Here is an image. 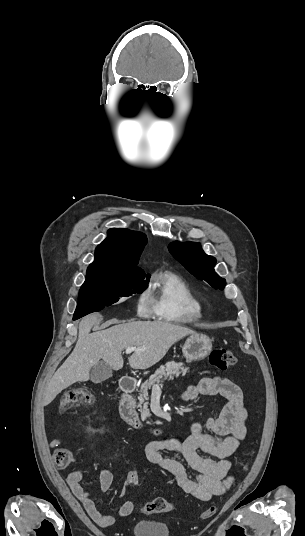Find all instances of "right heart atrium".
<instances>
[{"label": "right heart atrium", "instance_id": "right-heart-atrium-1", "mask_svg": "<svg viewBox=\"0 0 305 536\" xmlns=\"http://www.w3.org/2000/svg\"><path fill=\"white\" fill-rule=\"evenodd\" d=\"M136 309L140 316L146 317L152 313L153 309L150 303L149 295L145 291H141L136 299Z\"/></svg>", "mask_w": 305, "mask_h": 536}]
</instances>
